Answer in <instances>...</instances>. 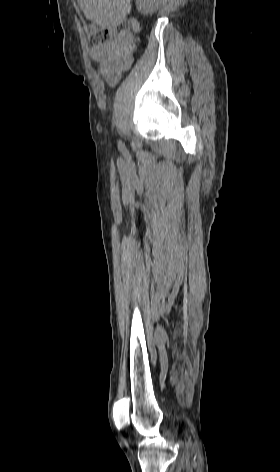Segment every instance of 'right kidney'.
<instances>
[{"label":"right kidney","instance_id":"ca27d5eb","mask_svg":"<svg viewBox=\"0 0 280 472\" xmlns=\"http://www.w3.org/2000/svg\"><path fill=\"white\" fill-rule=\"evenodd\" d=\"M161 4V0H137V9L144 15L153 13Z\"/></svg>","mask_w":280,"mask_h":472}]
</instances>
